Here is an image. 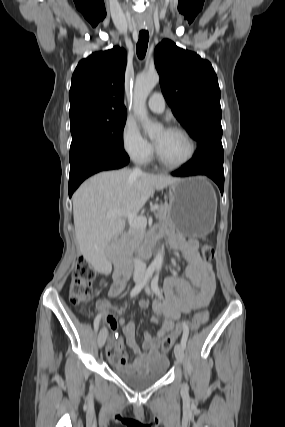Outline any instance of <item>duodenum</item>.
<instances>
[{
	"label": "duodenum",
	"instance_id": "duodenum-1",
	"mask_svg": "<svg viewBox=\"0 0 285 427\" xmlns=\"http://www.w3.org/2000/svg\"><path fill=\"white\" fill-rule=\"evenodd\" d=\"M159 238V235L155 232L148 233L138 249V254L143 258L149 257ZM114 260L116 263L114 277L118 280L126 281L132 270V259L123 255L119 249L116 252Z\"/></svg>",
	"mask_w": 285,
	"mask_h": 427
}]
</instances>
